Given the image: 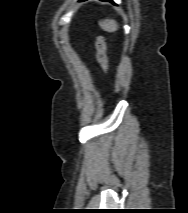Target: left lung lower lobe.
I'll return each instance as SVG.
<instances>
[{
    "label": "left lung lower lobe",
    "instance_id": "1",
    "mask_svg": "<svg viewBox=\"0 0 188 213\" xmlns=\"http://www.w3.org/2000/svg\"><path fill=\"white\" fill-rule=\"evenodd\" d=\"M79 1H84V0H79ZM103 1H111L112 2V0H103Z\"/></svg>",
    "mask_w": 188,
    "mask_h": 213
}]
</instances>
